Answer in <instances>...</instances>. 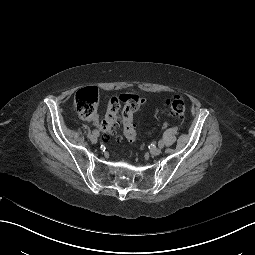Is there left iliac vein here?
I'll list each match as a JSON object with an SVG mask.
<instances>
[{
	"label": "left iliac vein",
	"mask_w": 255,
	"mask_h": 255,
	"mask_svg": "<svg viewBox=\"0 0 255 255\" xmlns=\"http://www.w3.org/2000/svg\"><path fill=\"white\" fill-rule=\"evenodd\" d=\"M161 153V148L160 147H155L151 150V155L157 156Z\"/></svg>",
	"instance_id": "left-iliac-vein-1"
}]
</instances>
